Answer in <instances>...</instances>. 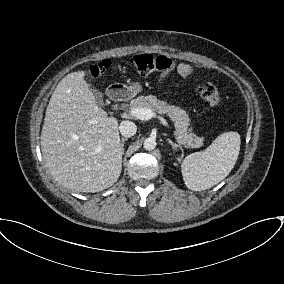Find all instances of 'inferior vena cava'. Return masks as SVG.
<instances>
[{"label": "inferior vena cava", "instance_id": "602c4592", "mask_svg": "<svg viewBox=\"0 0 284 284\" xmlns=\"http://www.w3.org/2000/svg\"><path fill=\"white\" fill-rule=\"evenodd\" d=\"M119 130L122 136L129 138L136 133L137 126L135 125V123L125 120L120 123Z\"/></svg>", "mask_w": 284, "mask_h": 284}]
</instances>
